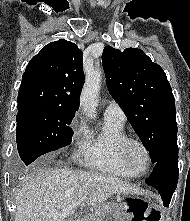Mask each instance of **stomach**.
Instances as JSON below:
<instances>
[{"mask_svg": "<svg viewBox=\"0 0 190 221\" xmlns=\"http://www.w3.org/2000/svg\"><path fill=\"white\" fill-rule=\"evenodd\" d=\"M116 210L107 204L97 208L99 221H162L165 212H160L159 204H154V200H118ZM126 217H145V218H126Z\"/></svg>", "mask_w": 190, "mask_h": 221, "instance_id": "0dacf381", "label": "stomach"}]
</instances>
